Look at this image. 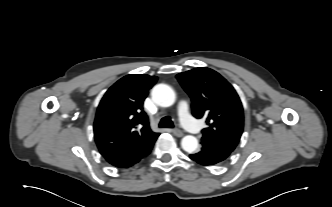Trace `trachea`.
<instances>
[{
	"label": "trachea",
	"mask_w": 332,
	"mask_h": 207,
	"mask_svg": "<svg viewBox=\"0 0 332 207\" xmlns=\"http://www.w3.org/2000/svg\"><path fill=\"white\" fill-rule=\"evenodd\" d=\"M159 127L160 128H173L174 124H173L171 118L166 116V117L161 119V121L159 123Z\"/></svg>",
	"instance_id": "obj_1"
}]
</instances>
